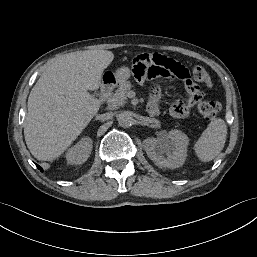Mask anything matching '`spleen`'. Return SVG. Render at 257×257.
Returning a JSON list of instances; mask_svg holds the SVG:
<instances>
[{"label": "spleen", "mask_w": 257, "mask_h": 257, "mask_svg": "<svg viewBox=\"0 0 257 257\" xmlns=\"http://www.w3.org/2000/svg\"><path fill=\"white\" fill-rule=\"evenodd\" d=\"M226 136L227 126L224 120H212L194 146L199 159L203 162L213 160L223 149Z\"/></svg>", "instance_id": "1"}]
</instances>
